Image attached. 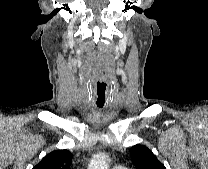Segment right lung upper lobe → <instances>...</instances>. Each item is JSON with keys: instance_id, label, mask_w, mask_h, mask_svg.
I'll use <instances>...</instances> for the list:
<instances>
[{"instance_id": "1", "label": "right lung upper lobe", "mask_w": 208, "mask_h": 169, "mask_svg": "<svg viewBox=\"0 0 208 169\" xmlns=\"http://www.w3.org/2000/svg\"><path fill=\"white\" fill-rule=\"evenodd\" d=\"M72 154L66 149L47 154L33 169H70Z\"/></svg>"}]
</instances>
